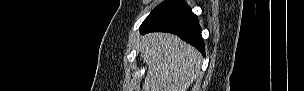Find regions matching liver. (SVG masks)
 Listing matches in <instances>:
<instances>
[{
    "mask_svg": "<svg viewBox=\"0 0 304 91\" xmlns=\"http://www.w3.org/2000/svg\"><path fill=\"white\" fill-rule=\"evenodd\" d=\"M140 50L148 65L143 91H186L199 73L200 53L175 35L147 34Z\"/></svg>",
    "mask_w": 304,
    "mask_h": 91,
    "instance_id": "liver-1",
    "label": "liver"
}]
</instances>
